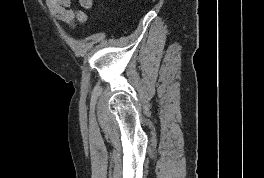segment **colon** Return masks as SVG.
<instances>
[{"label": "colon", "instance_id": "5ec220e1", "mask_svg": "<svg viewBox=\"0 0 264 178\" xmlns=\"http://www.w3.org/2000/svg\"><path fill=\"white\" fill-rule=\"evenodd\" d=\"M79 2L80 5L85 9L91 8L93 4V0H79Z\"/></svg>", "mask_w": 264, "mask_h": 178}]
</instances>
